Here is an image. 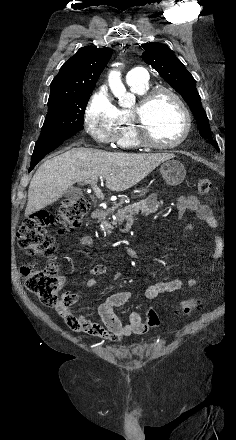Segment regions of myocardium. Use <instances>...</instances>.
<instances>
[{
    "label": "myocardium",
    "instance_id": "obj_1",
    "mask_svg": "<svg viewBox=\"0 0 236 440\" xmlns=\"http://www.w3.org/2000/svg\"><path fill=\"white\" fill-rule=\"evenodd\" d=\"M163 94L171 96L176 101L184 117V130L182 135L170 143H158L153 140L150 136L146 119V113L153 101ZM131 120L139 144L151 149H172L180 146L189 136L192 127L191 114L183 98L173 89L163 86L148 90L141 95L137 105L131 111Z\"/></svg>",
    "mask_w": 236,
    "mask_h": 440
}]
</instances>
